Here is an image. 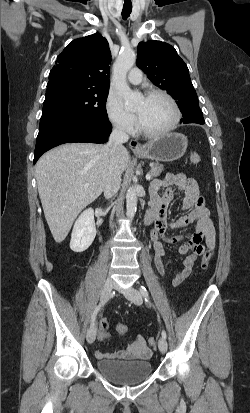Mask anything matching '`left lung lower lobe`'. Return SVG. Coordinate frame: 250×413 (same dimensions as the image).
I'll list each match as a JSON object with an SVG mask.
<instances>
[{
	"label": "left lung lower lobe",
	"mask_w": 250,
	"mask_h": 413,
	"mask_svg": "<svg viewBox=\"0 0 250 413\" xmlns=\"http://www.w3.org/2000/svg\"><path fill=\"white\" fill-rule=\"evenodd\" d=\"M181 122L183 123H198V124H204V118L203 114H186L183 115V118L181 119Z\"/></svg>",
	"instance_id": "obj_1"
}]
</instances>
